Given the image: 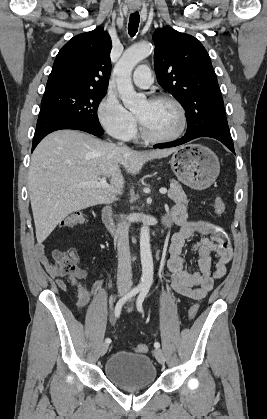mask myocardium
Wrapping results in <instances>:
<instances>
[{"label":"myocardium","instance_id":"myocardium-1","mask_svg":"<svg viewBox=\"0 0 267 419\" xmlns=\"http://www.w3.org/2000/svg\"><path fill=\"white\" fill-rule=\"evenodd\" d=\"M150 102H160V101H167L172 103L178 110L179 115H180V125L179 128L177 129V131L175 133H173L172 135L169 136H155L152 135L143 125V123L140 121V119L138 117L137 118V122L139 125V130H140V134L141 136L152 143H167V142H172L177 140L178 138H180L182 136V134L184 133L186 127H187V114H186V110L183 106V104L176 99L175 97L171 96V95H167V94H159V95H155L152 96L151 98H149Z\"/></svg>","mask_w":267,"mask_h":419}]
</instances>
